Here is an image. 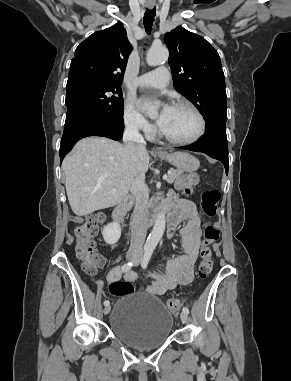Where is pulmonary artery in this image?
<instances>
[{"label":"pulmonary artery","mask_w":291,"mask_h":381,"mask_svg":"<svg viewBox=\"0 0 291 381\" xmlns=\"http://www.w3.org/2000/svg\"><path fill=\"white\" fill-rule=\"evenodd\" d=\"M169 83V71L166 67H159L150 71L136 80V85L141 88H165Z\"/></svg>","instance_id":"pulmonary-artery-1"}]
</instances>
